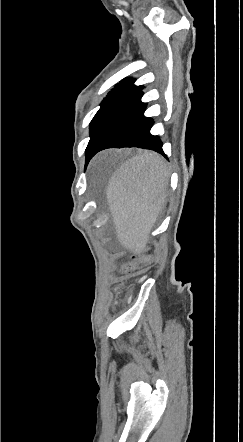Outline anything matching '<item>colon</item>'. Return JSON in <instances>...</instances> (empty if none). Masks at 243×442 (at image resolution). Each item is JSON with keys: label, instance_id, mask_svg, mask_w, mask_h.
I'll use <instances>...</instances> for the list:
<instances>
[{"label": "colon", "instance_id": "obj_1", "mask_svg": "<svg viewBox=\"0 0 243 442\" xmlns=\"http://www.w3.org/2000/svg\"><path fill=\"white\" fill-rule=\"evenodd\" d=\"M157 257L152 254L138 255L137 257H130L128 262L120 263L119 268L115 269L120 276H125L130 278L132 275L141 274L142 270L148 271L153 268L152 262H155ZM124 289V283L119 281L114 286V291L112 293L113 298L119 299L122 296Z\"/></svg>", "mask_w": 243, "mask_h": 442}]
</instances>
